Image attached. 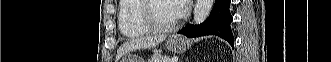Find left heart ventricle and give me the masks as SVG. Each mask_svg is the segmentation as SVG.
I'll return each instance as SVG.
<instances>
[{
    "label": "left heart ventricle",
    "mask_w": 331,
    "mask_h": 62,
    "mask_svg": "<svg viewBox=\"0 0 331 62\" xmlns=\"http://www.w3.org/2000/svg\"><path fill=\"white\" fill-rule=\"evenodd\" d=\"M150 12L152 17L160 24H169L179 17L173 1H153Z\"/></svg>",
    "instance_id": "left-heart-ventricle-1"
}]
</instances>
